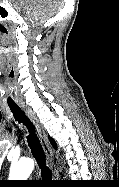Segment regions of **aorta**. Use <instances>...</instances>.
Returning <instances> with one entry per match:
<instances>
[{"instance_id": "obj_1", "label": "aorta", "mask_w": 119, "mask_h": 187, "mask_svg": "<svg viewBox=\"0 0 119 187\" xmlns=\"http://www.w3.org/2000/svg\"><path fill=\"white\" fill-rule=\"evenodd\" d=\"M34 169V161L24 158L10 167L9 180H27Z\"/></svg>"}]
</instances>
